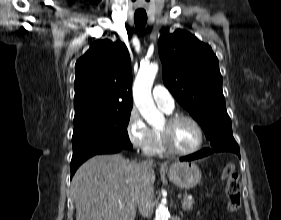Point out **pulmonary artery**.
Returning <instances> with one entry per match:
<instances>
[{
	"label": "pulmonary artery",
	"mask_w": 281,
	"mask_h": 220,
	"mask_svg": "<svg viewBox=\"0 0 281 220\" xmlns=\"http://www.w3.org/2000/svg\"><path fill=\"white\" fill-rule=\"evenodd\" d=\"M155 103L165 112H172L175 106L174 98L163 85H155L152 91Z\"/></svg>",
	"instance_id": "e3ab8cb5"
}]
</instances>
